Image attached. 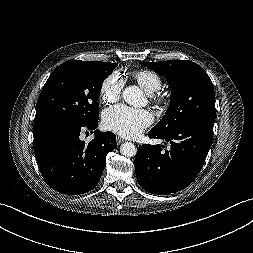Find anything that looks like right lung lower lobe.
Here are the masks:
<instances>
[{"mask_svg":"<svg viewBox=\"0 0 253 253\" xmlns=\"http://www.w3.org/2000/svg\"><path fill=\"white\" fill-rule=\"evenodd\" d=\"M99 119V118H98ZM98 119L77 124L64 119L34 123V152L41 174L55 191L78 195L92 190L106 165V156L117 146L112 132L95 131L88 144L80 140L82 130L96 129Z\"/></svg>","mask_w":253,"mask_h":253,"instance_id":"right-lung-lower-lobe-1","label":"right lung lower lobe"}]
</instances>
